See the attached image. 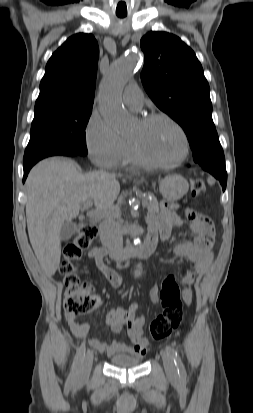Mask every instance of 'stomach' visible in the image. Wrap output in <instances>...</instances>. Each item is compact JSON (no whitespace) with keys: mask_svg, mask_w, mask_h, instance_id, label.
<instances>
[{"mask_svg":"<svg viewBox=\"0 0 253 413\" xmlns=\"http://www.w3.org/2000/svg\"><path fill=\"white\" fill-rule=\"evenodd\" d=\"M189 190V184L185 178L178 174L166 176L159 186L162 196L169 201L181 199Z\"/></svg>","mask_w":253,"mask_h":413,"instance_id":"obj_1","label":"stomach"}]
</instances>
